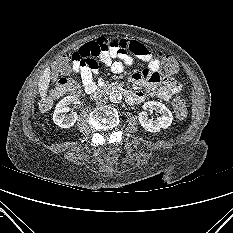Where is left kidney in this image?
I'll use <instances>...</instances> for the list:
<instances>
[{"label": "left kidney", "instance_id": "5707ae66", "mask_svg": "<svg viewBox=\"0 0 233 233\" xmlns=\"http://www.w3.org/2000/svg\"><path fill=\"white\" fill-rule=\"evenodd\" d=\"M143 109L145 111L140 112L138 118L139 123L145 130L149 132H159L161 129H166L171 125L173 116L171 111L164 104L148 101L144 103ZM146 110L155 111L161 116L153 120L148 117Z\"/></svg>", "mask_w": 233, "mask_h": 233}]
</instances>
